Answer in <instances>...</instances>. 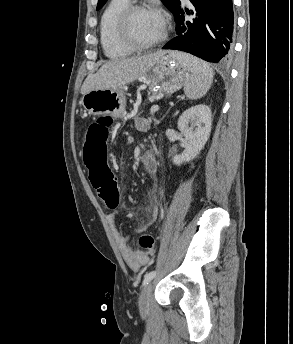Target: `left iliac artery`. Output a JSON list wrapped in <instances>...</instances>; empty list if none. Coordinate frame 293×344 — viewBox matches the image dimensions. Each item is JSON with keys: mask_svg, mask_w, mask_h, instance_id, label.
Masks as SVG:
<instances>
[{"mask_svg": "<svg viewBox=\"0 0 293 344\" xmlns=\"http://www.w3.org/2000/svg\"><path fill=\"white\" fill-rule=\"evenodd\" d=\"M156 275V272L155 271H150V272H147L145 275H144V280H143V283L142 285L145 286L147 285Z\"/></svg>", "mask_w": 293, "mask_h": 344, "instance_id": "1", "label": "left iliac artery"}]
</instances>
